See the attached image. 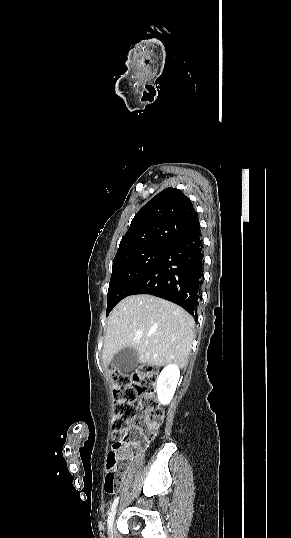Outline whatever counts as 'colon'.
Here are the masks:
<instances>
[{
    "mask_svg": "<svg viewBox=\"0 0 291 538\" xmlns=\"http://www.w3.org/2000/svg\"><path fill=\"white\" fill-rule=\"evenodd\" d=\"M113 380V446L106 461L105 489L115 491L124 474L126 463L135 449L151 440L163 419L155 390L157 370L141 365L128 374L110 368ZM144 412L137 417L136 401Z\"/></svg>",
    "mask_w": 291,
    "mask_h": 538,
    "instance_id": "5ec220e1",
    "label": "colon"
}]
</instances>
